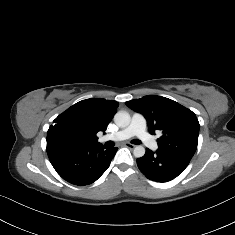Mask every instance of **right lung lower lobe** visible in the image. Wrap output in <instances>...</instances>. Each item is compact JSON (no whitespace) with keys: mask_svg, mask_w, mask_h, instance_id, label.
<instances>
[{"mask_svg":"<svg viewBox=\"0 0 235 235\" xmlns=\"http://www.w3.org/2000/svg\"><path fill=\"white\" fill-rule=\"evenodd\" d=\"M117 147L50 144L47 153L57 173L71 184L83 186L96 181L108 169Z\"/></svg>","mask_w":235,"mask_h":235,"instance_id":"obj_1","label":"right lung lower lobe"}]
</instances>
